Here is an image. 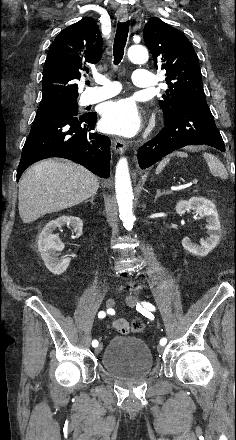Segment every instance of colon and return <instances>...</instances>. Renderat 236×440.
Masks as SVG:
<instances>
[{
  "label": "colon",
  "mask_w": 236,
  "mask_h": 440,
  "mask_svg": "<svg viewBox=\"0 0 236 440\" xmlns=\"http://www.w3.org/2000/svg\"><path fill=\"white\" fill-rule=\"evenodd\" d=\"M144 330V324L140 320H135L130 326H128L127 330H123L121 333H141Z\"/></svg>",
  "instance_id": "colon-1"
}]
</instances>
